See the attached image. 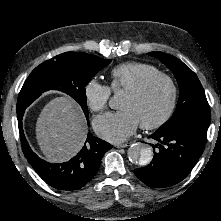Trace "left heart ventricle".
<instances>
[{
    "label": "left heart ventricle",
    "mask_w": 221,
    "mask_h": 221,
    "mask_svg": "<svg viewBox=\"0 0 221 221\" xmlns=\"http://www.w3.org/2000/svg\"><path fill=\"white\" fill-rule=\"evenodd\" d=\"M169 97L170 89L167 83L157 80L140 96L125 93L119 108L131 111L140 124L149 123L157 120L164 113Z\"/></svg>",
    "instance_id": "left-heart-ventricle-1"
}]
</instances>
